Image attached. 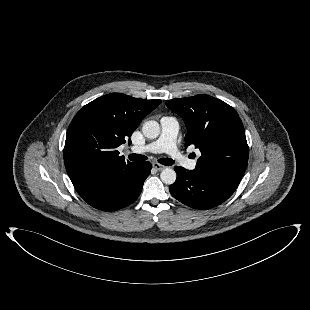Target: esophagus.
Returning <instances> with one entry per match:
<instances>
[{"instance_id": "1", "label": "esophagus", "mask_w": 310, "mask_h": 310, "mask_svg": "<svg viewBox=\"0 0 310 310\" xmlns=\"http://www.w3.org/2000/svg\"><path fill=\"white\" fill-rule=\"evenodd\" d=\"M152 166H153V168H155L156 170H158V171H161V170H163V169H165L166 168V166H164V165H161V164H159V163H153L152 164Z\"/></svg>"}]
</instances>
